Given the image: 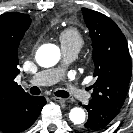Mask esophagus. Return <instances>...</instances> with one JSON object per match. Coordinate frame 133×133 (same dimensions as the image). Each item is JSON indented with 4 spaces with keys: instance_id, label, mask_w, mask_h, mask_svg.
I'll use <instances>...</instances> for the list:
<instances>
[{
    "instance_id": "34e87169",
    "label": "esophagus",
    "mask_w": 133,
    "mask_h": 133,
    "mask_svg": "<svg viewBox=\"0 0 133 133\" xmlns=\"http://www.w3.org/2000/svg\"><path fill=\"white\" fill-rule=\"evenodd\" d=\"M53 100H54L55 102H58V103H65V99H64V98L53 97Z\"/></svg>"
}]
</instances>
